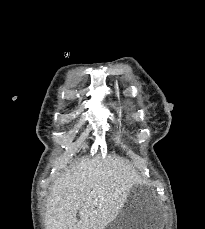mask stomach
Masks as SVG:
<instances>
[{
  "mask_svg": "<svg viewBox=\"0 0 205 229\" xmlns=\"http://www.w3.org/2000/svg\"><path fill=\"white\" fill-rule=\"evenodd\" d=\"M162 205L153 197L138 195L128 198L117 217L105 229H163Z\"/></svg>",
  "mask_w": 205,
  "mask_h": 229,
  "instance_id": "obj_1",
  "label": "stomach"
}]
</instances>
